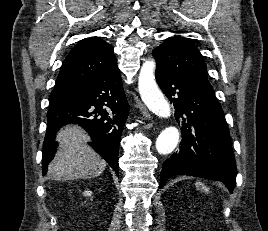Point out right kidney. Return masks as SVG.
Here are the masks:
<instances>
[{"label":"right kidney","mask_w":268,"mask_h":231,"mask_svg":"<svg viewBox=\"0 0 268 231\" xmlns=\"http://www.w3.org/2000/svg\"><path fill=\"white\" fill-rule=\"evenodd\" d=\"M91 195V192L90 191H85L84 192V196H90Z\"/></svg>","instance_id":"obj_1"}]
</instances>
